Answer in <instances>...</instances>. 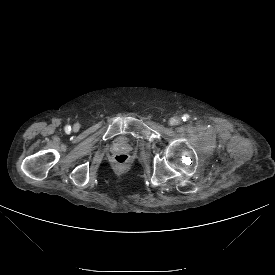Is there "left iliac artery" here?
Returning a JSON list of instances; mask_svg holds the SVG:
<instances>
[{
  "mask_svg": "<svg viewBox=\"0 0 275 275\" xmlns=\"http://www.w3.org/2000/svg\"><path fill=\"white\" fill-rule=\"evenodd\" d=\"M188 115H184L182 118H183V121H186V119H188Z\"/></svg>",
  "mask_w": 275,
  "mask_h": 275,
  "instance_id": "1",
  "label": "left iliac artery"
}]
</instances>
